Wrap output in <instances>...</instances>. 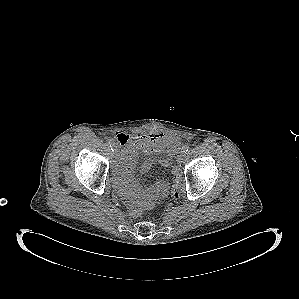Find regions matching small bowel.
<instances>
[{"label": "small bowel", "instance_id": "obj_1", "mask_svg": "<svg viewBox=\"0 0 299 299\" xmlns=\"http://www.w3.org/2000/svg\"><path fill=\"white\" fill-rule=\"evenodd\" d=\"M115 137L123 146L118 157L116 179L119 187L127 197H132L140 191L138 183L131 178L138 154L140 152L148 156L164 154L161 157L149 158L141 164L140 171L146 173L157 164L163 167L170 166L172 157L177 152L180 144V139L177 136L162 133L131 135L125 132H116ZM168 187L167 181L159 180L143 190L141 195L146 199H155L165 195Z\"/></svg>", "mask_w": 299, "mask_h": 299}]
</instances>
